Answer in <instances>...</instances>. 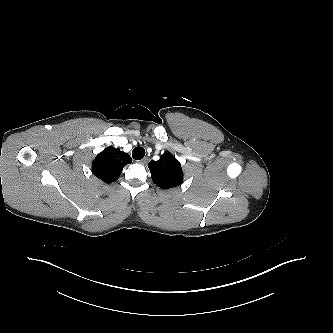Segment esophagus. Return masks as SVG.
Returning a JSON list of instances; mask_svg holds the SVG:
<instances>
[{
    "mask_svg": "<svg viewBox=\"0 0 333 333\" xmlns=\"http://www.w3.org/2000/svg\"><path fill=\"white\" fill-rule=\"evenodd\" d=\"M148 162V158L147 157H144V158H142L140 161H139V163H141V164H146Z\"/></svg>",
    "mask_w": 333,
    "mask_h": 333,
    "instance_id": "1",
    "label": "esophagus"
}]
</instances>
